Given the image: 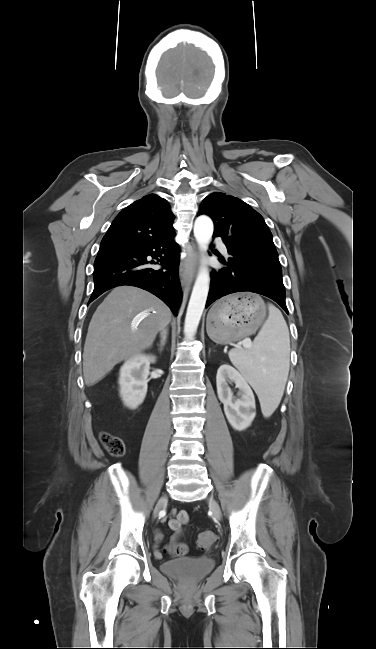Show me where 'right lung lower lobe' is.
Instances as JSON below:
<instances>
[{
    "label": "right lung lower lobe",
    "mask_w": 376,
    "mask_h": 649,
    "mask_svg": "<svg viewBox=\"0 0 376 649\" xmlns=\"http://www.w3.org/2000/svg\"><path fill=\"white\" fill-rule=\"evenodd\" d=\"M174 237L175 232L131 249L98 254L94 262V290L88 304L108 289L132 285L156 295L177 316L182 292L176 271L179 248ZM149 255L158 260L163 268H149V264H156L147 261Z\"/></svg>",
    "instance_id": "1"
}]
</instances>
